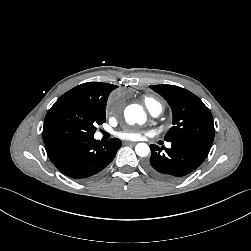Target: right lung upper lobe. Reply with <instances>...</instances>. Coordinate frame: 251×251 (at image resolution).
Wrapping results in <instances>:
<instances>
[{"instance_id":"1","label":"right lung upper lobe","mask_w":251,"mask_h":251,"mask_svg":"<svg viewBox=\"0 0 251 251\" xmlns=\"http://www.w3.org/2000/svg\"><path fill=\"white\" fill-rule=\"evenodd\" d=\"M116 88V85L108 83L87 82L72 88L59 99H76L106 106L109 94Z\"/></svg>"}]
</instances>
